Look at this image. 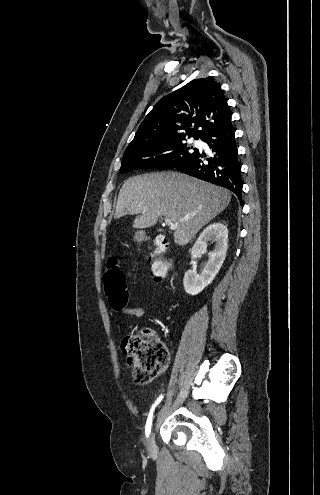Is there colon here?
Masks as SVG:
<instances>
[{"label": "colon", "instance_id": "1", "mask_svg": "<svg viewBox=\"0 0 320 495\" xmlns=\"http://www.w3.org/2000/svg\"><path fill=\"white\" fill-rule=\"evenodd\" d=\"M167 243L159 241L157 252L164 255ZM172 268V263L159 258L152 263V273L157 281L164 279ZM103 284L106 297L113 309L123 311L128 301V289L125 274L116 258H111L106 264L103 273ZM123 352L133 360L132 377L137 384H147L161 373L169 361V352L165 345L154 341L148 329H142L137 334H130L122 338Z\"/></svg>", "mask_w": 320, "mask_h": 495}]
</instances>
